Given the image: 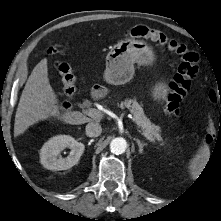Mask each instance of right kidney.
Wrapping results in <instances>:
<instances>
[{
    "label": "right kidney",
    "instance_id": "1",
    "mask_svg": "<svg viewBox=\"0 0 221 221\" xmlns=\"http://www.w3.org/2000/svg\"><path fill=\"white\" fill-rule=\"evenodd\" d=\"M66 148L71 152L66 158L59 154ZM85 146L68 135H58L46 142L40 152L41 164L49 170H66L76 165L83 154Z\"/></svg>",
    "mask_w": 221,
    "mask_h": 221
}]
</instances>
